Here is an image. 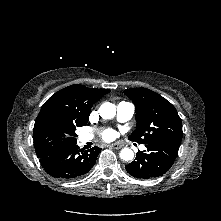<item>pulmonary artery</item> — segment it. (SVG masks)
Segmentation results:
<instances>
[{
  "mask_svg": "<svg viewBox=\"0 0 221 221\" xmlns=\"http://www.w3.org/2000/svg\"><path fill=\"white\" fill-rule=\"evenodd\" d=\"M135 112V106L131 102L122 101L117 105V119L120 122H126L130 120ZM80 141L82 143H86L92 139V135L90 134H83L80 136ZM140 150H144L145 146L140 145Z\"/></svg>",
  "mask_w": 221,
  "mask_h": 221,
  "instance_id": "obj_1",
  "label": "pulmonary artery"
}]
</instances>
